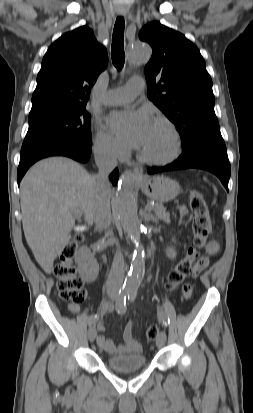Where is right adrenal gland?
<instances>
[{"instance_id": "right-adrenal-gland-1", "label": "right adrenal gland", "mask_w": 253, "mask_h": 413, "mask_svg": "<svg viewBox=\"0 0 253 413\" xmlns=\"http://www.w3.org/2000/svg\"><path fill=\"white\" fill-rule=\"evenodd\" d=\"M96 231L101 232V229L96 228Z\"/></svg>"}]
</instances>
